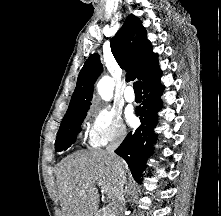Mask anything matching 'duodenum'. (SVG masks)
I'll return each mask as SVG.
<instances>
[{"instance_id":"410a0bca","label":"duodenum","mask_w":221,"mask_h":216,"mask_svg":"<svg viewBox=\"0 0 221 216\" xmlns=\"http://www.w3.org/2000/svg\"><path fill=\"white\" fill-rule=\"evenodd\" d=\"M92 216H102L101 211H95Z\"/></svg>"}]
</instances>
